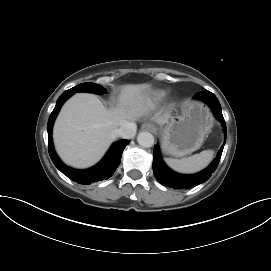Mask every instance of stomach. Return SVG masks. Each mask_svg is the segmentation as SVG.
I'll use <instances>...</instances> for the list:
<instances>
[{
    "instance_id": "obj_1",
    "label": "stomach",
    "mask_w": 271,
    "mask_h": 271,
    "mask_svg": "<svg viewBox=\"0 0 271 271\" xmlns=\"http://www.w3.org/2000/svg\"><path fill=\"white\" fill-rule=\"evenodd\" d=\"M213 126V116L199 101H186L181 113L171 117L161 128L162 150L174 157H184L198 150Z\"/></svg>"
}]
</instances>
